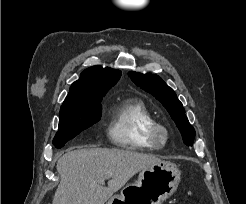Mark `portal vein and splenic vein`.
<instances>
[{"label": "portal vein and splenic vein", "instance_id": "18ae733b", "mask_svg": "<svg viewBox=\"0 0 246 204\" xmlns=\"http://www.w3.org/2000/svg\"><path fill=\"white\" fill-rule=\"evenodd\" d=\"M111 175H112L111 173H110V174H108V176H106V178H109Z\"/></svg>", "mask_w": 246, "mask_h": 204}]
</instances>
